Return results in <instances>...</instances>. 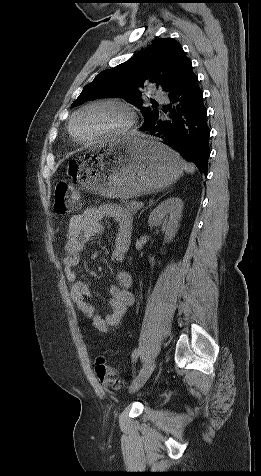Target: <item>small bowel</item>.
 Returning <instances> with one entry per match:
<instances>
[{"label": "small bowel", "instance_id": "1", "mask_svg": "<svg viewBox=\"0 0 261 476\" xmlns=\"http://www.w3.org/2000/svg\"><path fill=\"white\" fill-rule=\"evenodd\" d=\"M112 219L117 224V232L112 247L111 257L121 262L125 259L131 242L132 218L121 207L113 204H104L99 207L86 209L80 214L71 217L62 265L70 284V297L82 314L90 320L92 326L102 333H109L122 323L128 309L134 302L130 291L132 276L127 270L116 273V284L109 287L110 313H98L93 303L88 299L90 291L87 285L78 279L75 267L79 263L80 254L85 249L89 238L101 235L104 231L102 220Z\"/></svg>", "mask_w": 261, "mask_h": 476}]
</instances>
